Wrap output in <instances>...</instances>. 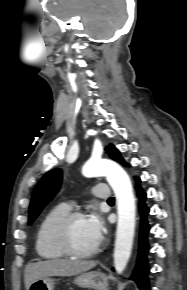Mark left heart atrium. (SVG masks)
Masks as SVG:
<instances>
[{"label": "left heart atrium", "mask_w": 187, "mask_h": 290, "mask_svg": "<svg viewBox=\"0 0 187 290\" xmlns=\"http://www.w3.org/2000/svg\"><path fill=\"white\" fill-rule=\"evenodd\" d=\"M87 222L94 237L99 242L103 237V233L105 229L104 223L101 217L96 213H92L91 215L87 217Z\"/></svg>", "instance_id": "obj_1"}]
</instances>
